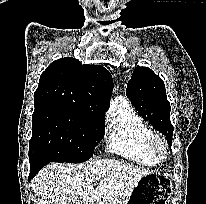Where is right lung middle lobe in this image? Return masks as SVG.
Wrapping results in <instances>:
<instances>
[{
    "label": "right lung middle lobe",
    "mask_w": 206,
    "mask_h": 204,
    "mask_svg": "<svg viewBox=\"0 0 206 204\" xmlns=\"http://www.w3.org/2000/svg\"><path fill=\"white\" fill-rule=\"evenodd\" d=\"M104 115L58 104H35L29 159L80 163L104 136Z\"/></svg>",
    "instance_id": "obj_1"
}]
</instances>
